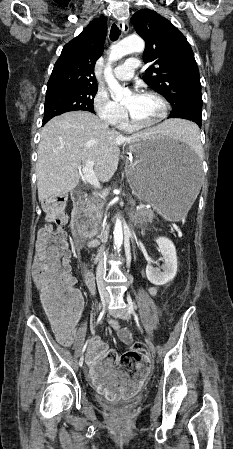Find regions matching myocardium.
<instances>
[{"label":"myocardium","instance_id":"myocardium-1","mask_svg":"<svg viewBox=\"0 0 233 449\" xmlns=\"http://www.w3.org/2000/svg\"><path fill=\"white\" fill-rule=\"evenodd\" d=\"M142 94L152 96L159 101V103L162 106V112H161L160 116L154 121L140 122L132 115L130 110L127 107H125L128 120L135 128H151L156 125H159L160 123H162L165 120V118L168 115V111H169L168 102L162 95H160L159 93L152 91V90H145L142 92Z\"/></svg>","mask_w":233,"mask_h":449}]
</instances>
